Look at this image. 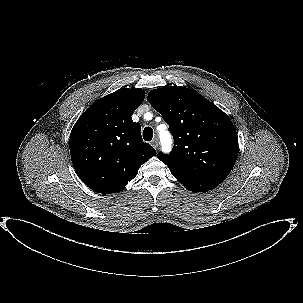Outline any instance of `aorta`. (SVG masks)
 I'll return each mask as SVG.
<instances>
[{"mask_svg":"<svg viewBox=\"0 0 303 303\" xmlns=\"http://www.w3.org/2000/svg\"><path fill=\"white\" fill-rule=\"evenodd\" d=\"M160 140L162 144V150L166 153L170 152L172 144V138L170 133L167 131H162L160 133Z\"/></svg>","mask_w":303,"mask_h":303,"instance_id":"762f6f07","label":"aorta"}]
</instances>
